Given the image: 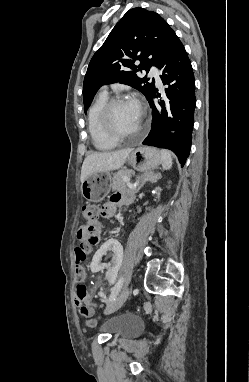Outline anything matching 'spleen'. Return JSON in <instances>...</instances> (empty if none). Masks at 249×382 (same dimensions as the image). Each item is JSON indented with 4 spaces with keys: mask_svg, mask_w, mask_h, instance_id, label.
Here are the masks:
<instances>
[{
    "mask_svg": "<svg viewBox=\"0 0 249 382\" xmlns=\"http://www.w3.org/2000/svg\"><path fill=\"white\" fill-rule=\"evenodd\" d=\"M161 164L164 170H169L173 164L172 153L166 149L160 150Z\"/></svg>",
    "mask_w": 249,
    "mask_h": 382,
    "instance_id": "spleen-1",
    "label": "spleen"
}]
</instances>
